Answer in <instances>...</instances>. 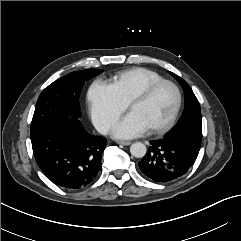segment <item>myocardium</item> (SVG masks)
<instances>
[{
  "label": "myocardium",
  "instance_id": "1",
  "mask_svg": "<svg viewBox=\"0 0 241 241\" xmlns=\"http://www.w3.org/2000/svg\"><path fill=\"white\" fill-rule=\"evenodd\" d=\"M164 85H169L171 86L175 93H176V105L174 108V111L170 117V119L163 125L160 126H156V127H152L150 128L152 132L154 133H164L167 132L168 130H170L176 123L180 110H181V106H182V93L180 88L178 87V85L170 80H160V81H156L153 82L149 85H147L145 88H143L140 92H138L136 95H134L131 100L129 101V108L131 109V107L137 103V102H142V101H146L147 99H149L151 97V95L161 86Z\"/></svg>",
  "mask_w": 241,
  "mask_h": 241
}]
</instances>
